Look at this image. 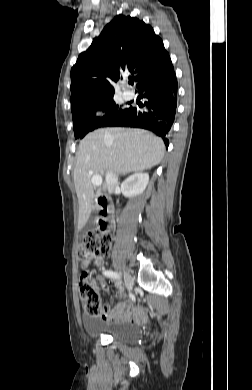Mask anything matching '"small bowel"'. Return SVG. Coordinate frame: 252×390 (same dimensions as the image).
<instances>
[{"label":"small bowel","mask_w":252,"mask_h":390,"mask_svg":"<svg viewBox=\"0 0 252 390\" xmlns=\"http://www.w3.org/2000/svg\"><path fill=\"white\" fill-rule=\"evenodd\" d=\"M95 265L101 267L104 263L102 257H97L93 259ZM88 262H84L83 266H87ZM95 285H100V287L110 293L109 287L102 277H98L97 281L94 282ZM113 298L119 299L114 309H111L109 305H106L103 308L102 317L103 319L119 321V322H141L145 318V310L141 306H134L130 301L122 300L124 297L123 291H118L114 295Z\"/></svg>","instance_id":"c3829d8e"}]
</instances>
